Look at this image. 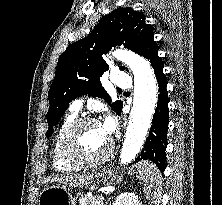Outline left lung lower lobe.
Here are the masks:
<instances>
[{
  "mask_svg": "<svg viewBox=\"0 0 222 205\" xmlns=\"http://www.w3.org/2000/svg\"><path fill=\"white\" fill-rule=\"evenodd\" d=\"M140 55H143L151 62L158 82L159 95L149 136L146 139L144 149L137 159H135L134 163L149 159L163 172L166 166L165 150L167 147V129L169 123L168 92L166 89L167 78L163 73V61L158 56V45L154 41L153 35L148 37Z\"/></svg>",
  "mask_w": 222,
  "mask_h": 205,
  "instance_id": "obj_1",
  "label": "left lung lower lobe"
}]
</instances>
